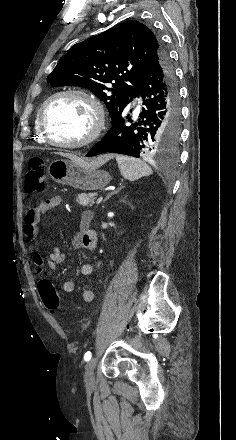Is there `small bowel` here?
I'll list each match as a JSON object with an SVG mask.
<instances>
[{
	"label": "small bowel",
	"instance_id": "c3829d8e",
	"mask_svg": "<svg viewBox=\"0 0 236 440\" xmlns=\"http://www.w3.org/2000/svg\"><path fill=\"white\" fill-rule=\"evenodd\" d=\"M62 199L58 196L47 200L40 201L36 206L30 208L24 218V239L30 245L37 242L38 224L42 217L46 216L50 211L57 208L61 204ZM92 221V214L86 211L82 214L78 230L72 239V245L75 249L85 248L90 251H95L97 248V234L90 228ZM32 260L38 274L44 275L46 268L54 270L58 265L65 260L64 253L59 248H54L53 251L45 258L38 250L32 253ZM94 271V266L91 264H84L81 267V274L83 276H90ZM76 289V282L74 280H67L63 284V290L67 293L73 292ZM94 298V292L90 288H86L82 292V299L85 302H91Z\"/></svg>",
	"mask_w": 236,
	"mask_h": 440
}]
</instances>
